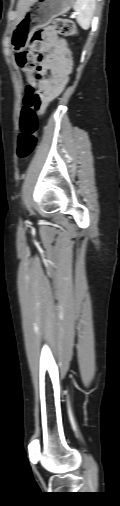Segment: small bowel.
<instances>
[{
	"label": "small bowel",
	"instance_id": "c3829d8e",
	"mask_svg": "<svg viewBox=\"0 0 120 506\" xmlns=\"http://www.w3.org/2000/svg\"><path fill=\"white\" fill-rule=\"evenodd\" d=\"M44 33V47L39 69L41 71L51 70L55 75L52 79L44 78L39 83L42 109L62 93L72 69V57L66 43L51 27L46 28ZM48 53L50 55H45Z\"/></svg>",
	"mask_w": 120,
	"mask_h": 506
}]
</instances>
